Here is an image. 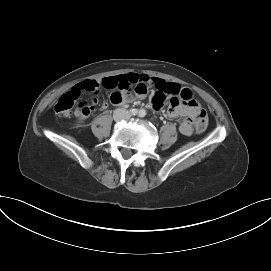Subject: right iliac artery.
<instances>
[{"mask_svg": "<svg viewBox=\"0 0 271 271\" xmlns=\"http://www.w3.org/2000/svg\"><path fill=\"white\" fill-rule=\"evenodd\" d=\"M138 112H139V110H137V109H130V110H129V114H130V115H137Z\"/></svg>", "mask_w": 271, "mask_h": 271, "instance_id": "1", "label": "right iliac artery"}]
</instances>
